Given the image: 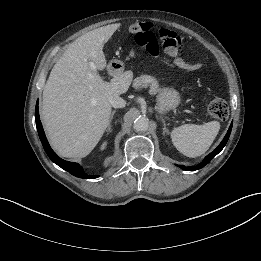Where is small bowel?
<instances>
[{"label":"small bowel","instance_id":"1","mask_svg":"<svg viewBox=\"0 0 261 261\" xmlns=\"http://www.w3.org/2000/svg\"><path fill=\"white\" fill-rule=\"evenodd\" d=\"M130 56H131V57H134V53H131Z\"/></svg>","mask_w":261,"mask_h":261}]
</instances>
